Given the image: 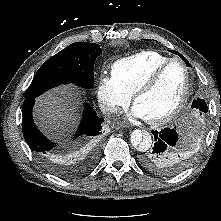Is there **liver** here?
<instances>
[{
	"mask_svg": "<svg viewBox=\"0 0 221 221\" xmlns=\"http://www.w3.org/2000/svg\"><path fill=\"white\" fill-rule=\"evenodd\" d=\"M79 93L72 85L60 86L38 99L34 119L42 132L59 139L75 126L79 116Z\"/></svg>",
	"mask_w": 221,
	"mask_h": 221,
	"instance_id": "6515ba94",
	"label": "liver"
}]
</instances>
